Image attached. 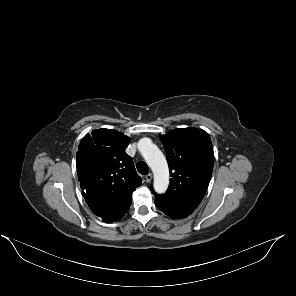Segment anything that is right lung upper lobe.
I'll use <instances>...</instances> for the list:
<instances>
[{"instance_id":"obj_1","label":"right lung upper lobe","mask_w":296,"mask_h":296,"mask_svg":"<svg viewBox=\"0 0 296 296\" xmlns=\"http://www.w3.org/2000/svg\"><path fill=\"white\" fill-rule=\"evenodd\" d=\"M130 138L114 129L93 130L82 138L76 166L82 195L90 204L131 199L142 179L125 152Z\"/></svg>"}]
</instances>
